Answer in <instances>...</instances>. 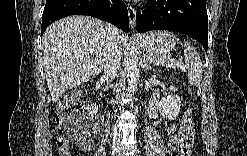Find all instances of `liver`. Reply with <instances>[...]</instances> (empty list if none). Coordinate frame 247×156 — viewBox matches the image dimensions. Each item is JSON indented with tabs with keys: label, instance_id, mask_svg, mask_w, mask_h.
Instances as JSON below:
<instances>
[{
	"label": "liver",
	"instance_id": "liver-1",
	"mask_svg": "<svg viewBox=\"0 0 247 156\" xmlns=\"http://www.w3.org/2000/svg\"><path fill=\"white\" fill-rule=\"evenodd\" d=\"M102 20L71 16L50 25L42 38L46 82L55 103L68 90L95 78L103 68L108 35ZM119 45L126 37L119 31Z\"/></svg>",
	"mask_w": 247,
	"mask_h": 156
}]
</instances>
